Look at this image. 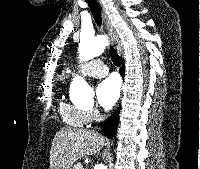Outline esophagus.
I'll use <instances>...</instances> for the list:
<instances>
[{
  "mask_svg": "<svg viewBox=\"0 0 200 169\" xmlns=\"http://www.w3.org/2000/svg\"><path fill=\"white\" fill-rule=\"evenodd\" d=\"M98 2L100 4L103 20L106 24V27H107V30H108L109 35L111 37V40H112L113 44L118 45V40H119L118 35H117L109 17H108V15L106 14V11H105L104 6L102 5L101 1L98 0Z\"/></svg>",
  "mask_w": 200,
  "mask_h": 169,
  "instance_id": "esophagus-1",
  "label": "esophagus"
}]
</instances>
